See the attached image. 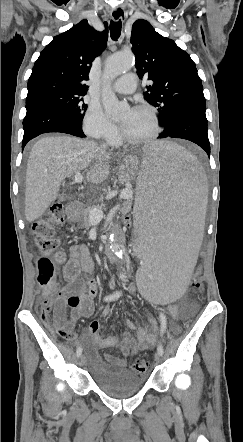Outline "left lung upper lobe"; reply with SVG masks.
<instances>
[{
    "label": "left lung upper lobe",
    "mask_w": 243,
    "mask_h": 442,
    "mask_svg": "<svg viewBox=\"0 0 243 442\" xmlns=\"http://www.w3.org/2000/svg\"><path fill=\"white\" fill-rule=\"evenodd\" d=\"M131 44L140 78L148 76L146 100L159 111L162 125L172 111L190 99H205L195 63L176 43L143 19L132 26Z\"/></svg>",
    "instance_id": "1"
}]
</instances>
